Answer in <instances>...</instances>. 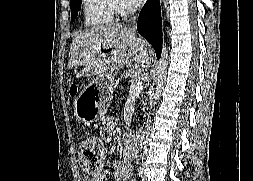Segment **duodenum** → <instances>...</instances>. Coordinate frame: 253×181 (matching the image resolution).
Instances as JSON below:
<instances>
[{"instance_id": "1", "label": "duodenum", "mask_w": 253, "mask_h": 181, "mask_svg": "<svg viewBox=\"0 0 253 181\" xmlns=\"http://www.w3.org/2000/svg\"><path fill=\"white\" fill-rule=\"evenodd\" d=\"M146 134V131L144 129H141L138 133L139 137H144Z\"/></svg>"}]
</instances>
